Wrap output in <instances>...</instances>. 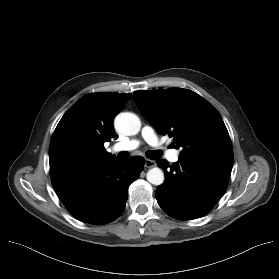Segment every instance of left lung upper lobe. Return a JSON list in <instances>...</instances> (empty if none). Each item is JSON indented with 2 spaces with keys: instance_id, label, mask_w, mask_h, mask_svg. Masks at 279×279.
Masks as SVG:
<instances>
[{
  "instance_id": "left-lung-upper-lobe-1",
  "label": "left lung upper lobe",
  "mask_w": 279,
  "mask_h": 279,
  "mask_svg": "<svg viewBox=\"0 0 279 279\" xmlns=\"http://www.w3.org/2000/svg\"><path fill=\"white\" fill-rule=\"evenodd\" d=\"M134 101L162 135L173 137L179 158L233 163V149L219 112L197 93L180 88L135 91Z\"/></svg>"
}]
</instances>
